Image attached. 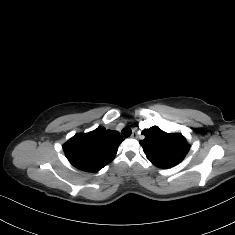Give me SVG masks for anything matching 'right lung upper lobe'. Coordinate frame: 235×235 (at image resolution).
<instances>
[{"label":"right lung upper lobe","mask_w":235,"mask_h":235,"mask_svg":"<svg viewBox=\"0 0 235 235\" xmlns=\"http://www.w3.org/2000/svg\"><path fill=\"white\" fill-rule=\"evenodd\" d=\"M122 142L119 132L100 126L89 133H79L63 145L69 162L86 172H98L110 163Z\"/></svg>","instance_id":"1"}]
</instances>
